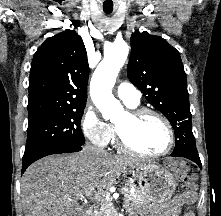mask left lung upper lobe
Wrapping results in <instances>:
<instances>
[{"instance_id":"left-lung-upper-lobe-1","label":"left lung upper lobe","mask_w":221,"mask_h":216,"mask_svg":"<svg viewBox=\"0 0 221 216\" xmlns=\"http://www.w3.org/2000/svg\"><path fill=\"white\" fill-rule=\"evenodd\" d=\"M127 75L147 101L170 121L176 145L197 152L186 73L179 52L162 37L135 31L131 36Z\"/></svg>"}]
</instances>
